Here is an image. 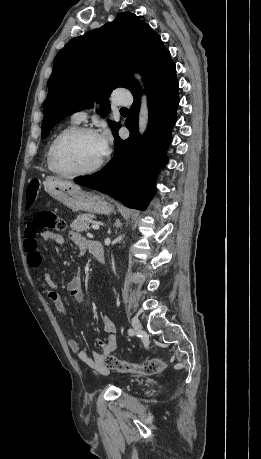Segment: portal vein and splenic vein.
Wrapping results in <instances>:
<instances>
[{"mask_svg":"<svg viewBox=\"0 0 261 459\" xmlns=\"http://www.w3.org/2000/svg\"><path fill=\"white\" fill-rule=\"evenodd\" d=\"M92 229L98 230L99 229V224H92Z\"/></svg>","mask_w":261,"mask_h":459,"instance_id":"1","label":"portal vein and splenic vein"}]
</instances>
